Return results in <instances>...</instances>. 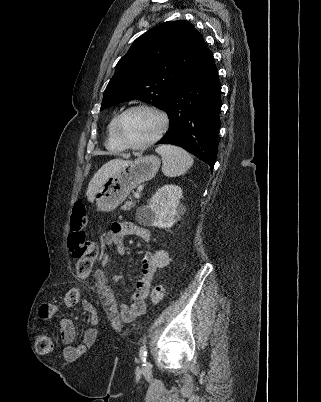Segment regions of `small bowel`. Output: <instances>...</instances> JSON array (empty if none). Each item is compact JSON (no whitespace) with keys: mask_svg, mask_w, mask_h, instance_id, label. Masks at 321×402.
<instances>
[{"mask_svg":"<svg viewBox=\"0 0 321 402\" xmlns=\"http://www.w3.org/2000/svg\"><path fill=\"white\" fill-rule=\"evenodd\" d=\"M134 236L140 239L147 245H152L151 232L134 222H115L111 225L110 230L105 236V243L108 246L115 248L116 253L123 256L126 253L124 244V237ZM170 256L166 250L154 249L146 252L141 260V274L136 283L134 293L131 297L130 304H120V317L125 323L133 322L137 316L143 314L146 309L145 298L147 297L153 275L156 270L162 269L169 264ZM108 262L107 256L101 260L100 266L94 268L93 277L95 281L101 286L108 287L109 281L103 270V266ZM119 277L115 276L114 280ZM83 311H93L95 305L93 302H83L81 305ZM60 307L56 303L44 302L39 307V317L48 321L57 313ZM89 330H84L82 344L76 345L75 341V328L71 321L62 319L59 322L57 330L61 336L64 344L63 355L66 360H75L76 358H83L84 353L89 351V347L96 345V332L95 328L98 327L97 321L90 322Z\"/></svg>","mask_w":321,"mask_h":402,"instance_id":"obj_1","label":"small bowel"}]
</instances>
